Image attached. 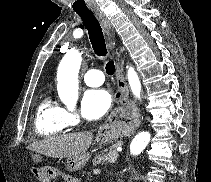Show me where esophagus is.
Returning <instances> with one entry per match:
<instances>
[{"instance_id":"1","label":"esophagus","mask_w":211,"mask_h":182,"mask_svg":"<svg viewBox=\"0 0 211 182\" xmlns=\"http://www.w3.org/2000/svg\"><path fill=\"white\" fill-rule=\"evenodd\" d=\"M93 12L95 16L97 17V19L99 20L107 38L109 40H114L115 38L114 29L110 21L105 16V14L100 9H93ZM116 81H117L118 90L114 95V100L117 104H120L126 107H130V106L134 107L135 111L137 112L136 126H138L140 124V114H139L137 106L134 105L129 98V89L125 81V78L123 76L122 70L120 69L119 63L116 64ZM114 116H115L114 113H111L109 115V117L103 124L101 131L107 130L111 126V124L113 123Z\"/></svg>"}]
</instances>
